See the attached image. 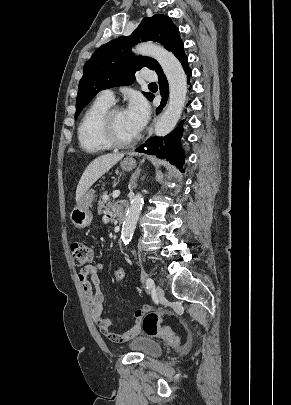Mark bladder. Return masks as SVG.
<instances>
[{
  "mask_svg": "<svg viewBox=\"0 0 291 405\" xmlns=\"http://www.w3.org/2000/svg\"><path fill=\"white\" fill-rule=\"evenodd\" d=\"M129 347L149 358H157L163 352V347L158 341L144 335L135 337L130 342Z\"/></svg>",
  "mask_w": 291,
  "mask_h": 405,
  "instance_id": "31cf9c89",
  "label": "bladder"
}]
</instances>
